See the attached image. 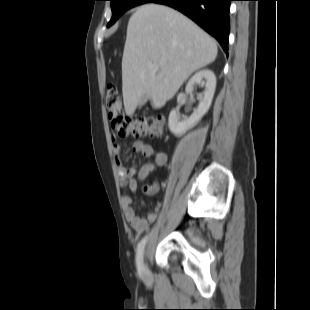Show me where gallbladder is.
<instances>
[{"label": "gallbladder", "mask_w": 310, "mask_h": 310, "mask_svg": "<svg viewBox=\"0 0 310 310\" xmlns=\"http://www.w3.org/2000/svg\"><path fill=\"white\" fill-rule=\"evenodd\" d=\"M147 100H148L147 97H142L138 102V107L139 108L143 107L146 104Z\"/></svg>", "instance_id": "bac80fb5"}]
</instances>
